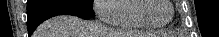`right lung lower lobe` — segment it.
I'll use <instances>...</instances> for the list:
<instances>
[{"mask_svg":"<svg viewBox=\"0 0 219 37\" xmlns=\"http://www.w3.org/2000/svg\"><path fill=\"white\" fill-rule=\"evenodd\" d=\"M75 15L89 19L94 15L92 3L83 0H28L27 26L29 36L39 24L56 15Z\"/></svg>","mask_w":219,"mask_h":37,"instance_id":"right-lung-lower-lobe-1","label":"right lung lower lobe"}]
</instances>
